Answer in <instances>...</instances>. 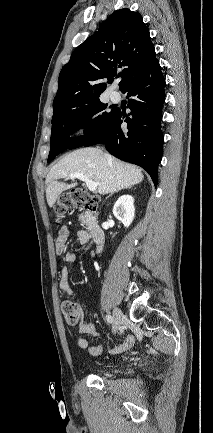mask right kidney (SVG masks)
<instances>
[{"label": "right kidney", "mask_w": 213, "mask_h": 433, "mask_svg": "<svg viewBox=\"0 0 213 433\" xmlns=\"http://www.w3.org/2000/svg\"><path fill=\"white\" fill-rule=\"evenodd\" d=\"M114 216L127 228L135 216L134 198L130 195H123L118 198L113 207Z\"/></svg>", "instance_id": "1"}]
</instances>
